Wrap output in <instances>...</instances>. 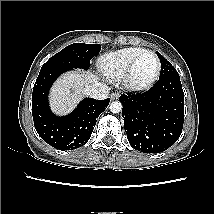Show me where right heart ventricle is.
<instances>
[{"instance_id": "right-heart-ventricle-1", "label": "right heart ventricle", "mask_w": 214, "mask_h": 214, "mask_svg": "<svg viewBox=\"0 0 214 214\" xmlns=\"http://www.w3.org/2000/svg\"><path fill=\"white\" fill-rule=\"evenodd\" d=\"M144 50L140 47H128L107 53L98 60L99 70L108 79L119 80L134 58Z\"/></svg>"}]
</instances>
